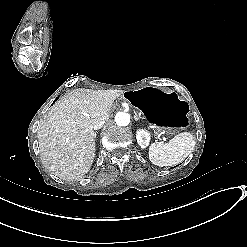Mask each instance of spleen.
<instances>
[{
    "mask_svg": "<svg viewBox=\"0 0 247 247\" xmlns=\"http://www.w3.org/2000/svg\"><path fill=\"white\" fill-rule=\"evenodd\" d=\"M195 144L193 133H179L168 143H153L149 147V160L160 167L177 165L193 151Z\"/></svg>",
    "mask_w": 247,
    "mask_h": 247,
    "instance_id": "1",
    "label": "spleen"
}]
</instances>
